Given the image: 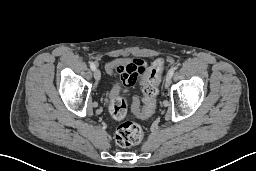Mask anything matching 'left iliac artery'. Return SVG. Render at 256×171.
Returning <instances> with one entry per match:
<instances>
[{
  "label": "left iliac artery",
  "instance_id": "left-iliac-artery-1",
  "mask_svg": "<svg viewBox=\"0 0 256 171\" xmlns=\"http://www.w3.org/2000/svg\"><path fill=\"white\" fill-rule=\"evenodd\" d=\"M174 69L173 68H171L169 71H168V76L169 77H172L173 76V74H174Z\"/></svg>",
  "mask_w": 256,
  "mask_h": 171
}]
</instances>
